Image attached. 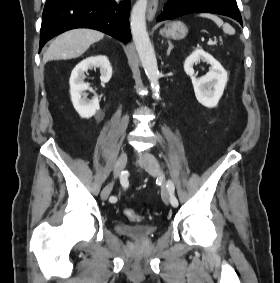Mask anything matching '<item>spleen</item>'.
<instances>
[{
    "mask_svg": "<svg viewBox=\"0 0 280 283\" xmlns=\"http://www.w3.org/2000/svg\"><path fill=\"white\" fill-rule=\"evenodd\" d=\"M200 16L214 21L218 27H221L223 29L224 33L229 34V35L235 34L234 28L230 24L224 23L223 20L217 17L216 15L209 14V13H202L200 14Z\"/></svg>",
    "mask_w": 280,
    "mask_h": 283,
    "instance_id": "obj_1",
    "label": "spleen"
}]
</instances>
